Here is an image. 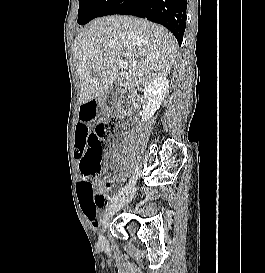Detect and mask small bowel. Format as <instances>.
Segmentation results:
<instances>
[{
  "instance_id": "1",
  "label": "small bowel",
  "mask_w": 265,
  "mask_h": 273,
  "mask_svg": "<svg viewBox=\"0 0 265 273\" xmlns=\"http://www.w3.org/2000/svg\"><path fill=\"white\" fill-rule=\"evenodd\" d=\"M80 108H84L80 109L79 119H81V123H92V119L96 118V109H91L95 108V103H80ZM74 128L94 129V124H75ZM75 157L77 160L78 168L80 170L81 157L78 155L77 152ZM112 159L114 162H118L119 155L113 154ZM81 181L82 180H80L79 184L81 183ZM111 184L112 183L110 181L98 180L96 182L95 190L92 194L80 193V204L82 212L86 219L92 225L97 224L98 211L101 208L105 207L111 200L106 194V191L111 187Z\"/></svg>"
}]
</instances>
